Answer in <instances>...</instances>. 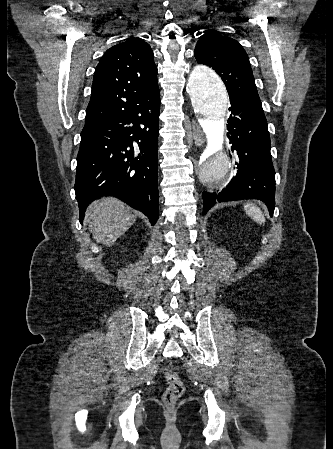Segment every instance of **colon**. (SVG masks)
Listing matches in <instances>:
<instances>
[{"mask_svg": "<svg viewBox=\"0 0 333 449\" xmlns=\"http://www.w3.org/2000/svg\"><path fill=\"white\" fill-rule=\"evenodd\" d=\"M164 377L168 383V386L163 393L162 399L165 405L173 406L183 395L185 387L178 374L173 370H166Z\"/></svg>", "mask_w": 333, "mask_h": 449, "instance_id": "5ec220e1", "label": "colon"}]
</instances>
